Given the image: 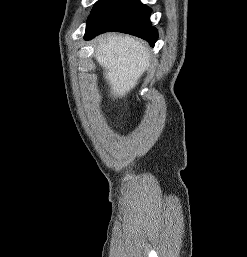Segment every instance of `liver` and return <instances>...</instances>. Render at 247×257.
Returning a JSON list of instances; mask_svg holds the SVG:
<instances>
[{"instance_id": "6515ba94", "label": "liver", "mask_w": 247, "mask_h": 257, "mask_svg": "<svg viewBox=\"0 0 247 257\" xmlns=\"http://www.w3.org/2000/svg\"><path fill=\"white\" fill-rule=\"evenodd\" d=\"M95 58L106 70L111 95L122 98L137 85L149 64L150 52L140 39L109 34L97 40Z\"/></svg>"}]
</instances>
